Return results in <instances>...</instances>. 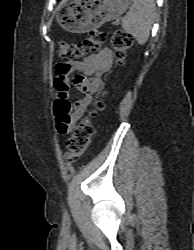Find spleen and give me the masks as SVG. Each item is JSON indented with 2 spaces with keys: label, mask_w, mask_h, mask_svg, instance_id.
Masks as SVG:
<instances>
[{
  "label": "spleen",
  "mask_w": 194,
  "mask_h": 250,
  "mask_svg": "<svg viewBox=\"0 0 194 250\" xmlns=\"http://www.w3.org/2000/svg\"><path fill=\"white\" fill-rule=\"evenodd\" d=\"M154 18V0H133L130 11L122 20V28L142 45L149 38Z\"/></svg>",
  "instance_id": "spleen-1"
}]
</instances>
